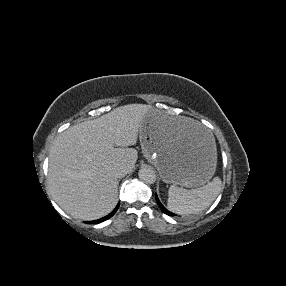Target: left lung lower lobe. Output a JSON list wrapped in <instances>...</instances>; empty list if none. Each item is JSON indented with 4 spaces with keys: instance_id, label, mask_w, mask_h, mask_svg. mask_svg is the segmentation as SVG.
<instances>
[{
    "instance_id": "0a47b994",
    "label": "left lung lower lobe",
    "mask_w": 286,
    "mask_h": 286,
    "mask_svg": "<svg viewBox=\"0 0 286 286\" xmlns=\"http://www.w3.org/2000/svg\"><path fill=\"white\" fill-rule=\"evenodd\" d=\"M156 201H157V203H158L160 209H161L165 214H167V215H169V216H174V215H175V214L169 212V211L160 203V201H159L157 195H156Z\"/></svg>"
}]
</instances>
